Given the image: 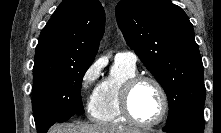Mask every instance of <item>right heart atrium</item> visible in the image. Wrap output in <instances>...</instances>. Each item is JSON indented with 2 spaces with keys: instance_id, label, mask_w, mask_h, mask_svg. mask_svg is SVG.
<instances>
[{
  "instance_id": "obj_1",
  "label": "right heart atrium",
  "mask_w": 221,
  "mask_h": 133,
  "mask_svg": "<svg viewBox=\"0 0 221 133\" xmlns=\"http://www.w3.org/2000/svg\"><path fill=\"white\" fill-rule=\"evenodd\" d=\"M100 63L95 61L84 71L80 81V94L90 110L96 93V81L100 75Z\"/></svg>"
}]
</instances>
